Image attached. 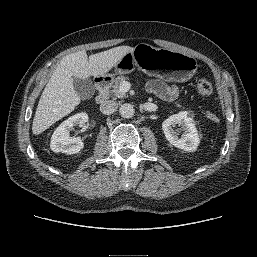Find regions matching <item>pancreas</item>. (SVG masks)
Segmentation results:
<instances>
[{"label": "pancreas", "instance_id": "obj_1", "mask_svg": "<svg viewBox=\"0 0 257 257\" xmlns=\"http://www.w3.org/2000/svg\"><path fill=\"white\" fill-rule=\"evenodd\" d=\"M127 79L128 78L124 76H119L115 79V84L112 86L113 89L110 91L112 97L124 98L127 96L126 93L120 91L121 83Z\"/></svg>", "mask_w": 257, "mask_h": 257}]
</instances>
